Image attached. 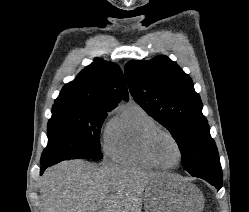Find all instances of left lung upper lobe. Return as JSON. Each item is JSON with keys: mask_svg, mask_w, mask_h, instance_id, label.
<instances>
[{"mask_svg": "<svg viewBox=\"0 0 249 212\" xmlns=\"http://www.w3.org/2000/svg\"><path fill=\"white\" fill-rule=\"evenodd\" d=\"M124 70L134 100L177 142L183 169L191 176L221 170L217 147L191 78L164 55L129 61Z\"/></svg>", "mask_w": 249, "mask_h": 212, "instance_id": "obj_1", "label": "left lung upper lobe"}]
</instances>
